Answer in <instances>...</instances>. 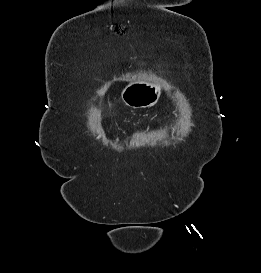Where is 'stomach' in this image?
Instances as JSON below:
<instances>
[{"label": "stomach", "mask_w": 261, "mask_h": 273, "mask_svg": "<svg viewBox=\"0 0 261 273\" xmlns=\"http://www.w3.org/2000/svg\"><path fill=\"white\" fill-rule=\"evenodd\" d=\"M162 87L147 80H136L129 83L121 92L122 101L132 108L153 106L161 95Z\"/></svg>", "instance_id": "stomach-1"}]
</instances>
